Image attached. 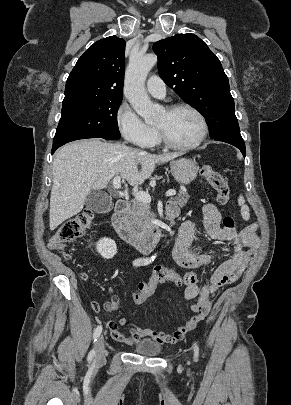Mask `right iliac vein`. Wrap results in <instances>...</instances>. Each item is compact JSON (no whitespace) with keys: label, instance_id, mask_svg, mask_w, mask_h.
Segmentation results:
<instances>
[{"label":"right iliac vein","instance_id":"right-iliac-vein-1","mask_svg":"<svg viewBox=\"0 0 291 405\" xmlns=\"http://www.w3.org/2000/svg\"><path fill=\"white\" fill-rule=\"evenodd\" d=\"M96 348V359L98 362H102L104 360V353H105V339L104 336H100L95 345Z\"/></svg>","mask_w":291,"mask_h":405}]
</instances>
